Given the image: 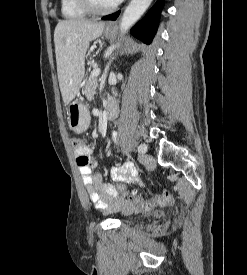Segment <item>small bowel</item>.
Masks as SVG:
<instances>
[{"instance_id": "small-bowel-1", "label": "small bowel", "mask_w": 247, "mask_h": 275, "mask_svg": "<svg viewBox=\"0 0 247 275\" xmlns=\"http://www.w3.org/2000/svg\"><path fill=\"white\" fill-rule=\"evenodd\" d=\"M91 153V148L86 145H84L81 150L76 151L77 164L90 200L94 203L96 208L103 211H128L132 209V203L120 197L113 186L107 185L104 182L101 175L93 173L97 162L91 156ZM82 157H85L86 160L83 161ZM111 176L117 184L121 185L138 182L137 172L132 164L113 167Z\"/></svg>"}]
</instances>
